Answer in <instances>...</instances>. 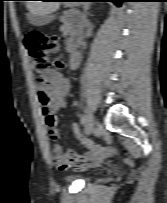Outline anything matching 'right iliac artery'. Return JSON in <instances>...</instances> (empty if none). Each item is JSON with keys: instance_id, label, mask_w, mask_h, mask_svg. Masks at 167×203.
I'll return each mask as SVG.
<instances>
[{"instance_id": "right-iliac-artery-1", "label": "right iliac artery", "mask_w": 167, "mask_h": 203, "mask_svg": "<svg viewBox=\"0 0 167 203\" xmlns=\"http://www.w3.org/2000/svg\"><path fill=\"white\" fill-rule=\"evenodd\" d=\"M80 121H81V124H82L83 126H86V124H87V116H86L85 114H82V115L80 116Z\"/></svg>"}]
</instances>
